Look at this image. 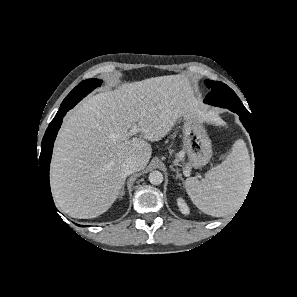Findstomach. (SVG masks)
I'll use <instances>...</instances> for the list:
<instances>
[{"instance_id":"obj_1","label":"stomach","mask_w":297,"mask_h":297,"mask_svg":"<svg viewBox=\"0 0 297 297\" xmlns=\"http://www.w3.org/2000/svg\"><path fill=\"white\" fill-rule=\"evenodd\" d=\"M183 145L178 157H187L189 167L200 168L211 159L212 143L203 122L195 116L183 118Z\"/></svg>"}]
</instances>
